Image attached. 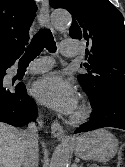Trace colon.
<instances>
[{"label":"colon","mask_w":125,"mask_h":167,"mask_svg":"<svg viewBox=\"0 0 125 167\" xmlns=\"http://www.w3.org/2000/svg\"><path fill=\"white\" fill-rule=\"evenodd\" d=\"M117 167H125V143L120 148Z\"/></svg>","instance_id":"1"}]
</instances>
